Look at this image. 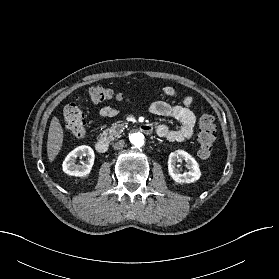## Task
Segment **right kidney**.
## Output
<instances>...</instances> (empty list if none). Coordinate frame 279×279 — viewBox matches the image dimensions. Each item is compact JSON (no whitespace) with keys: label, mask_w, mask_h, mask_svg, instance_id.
Listing matches in <instances>:
<instances>
[{"label":"right kidney","mask_w":279,"mask_h":279,"mask_svg":"<svg viewBox=\"0 0 279 279\" xmlns=\"http://www.w3.org/2000/svg\"><path fill=\"white\" fill-rule=\"evenodd\" d=\"M87 157L82 165L75 164L77 157ZM94 151L90 146L82 145L71 151L63 162V171L71 176L85 177L90 174L94 163Z\"/></svg>","instance_id":"right-kidney-1"}]
</instances>
